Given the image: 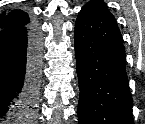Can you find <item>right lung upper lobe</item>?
<instances>
[{"mask_svg": "<svg viewBox=\"0 0 145 124\" xmlns=\"http://www.w3.org/2000/svg\"><path fill=\"white\" fill-rule=\"evenodd\" d=\"M30 24L29 17L20 10L5 12L0 17V30L22 28Z\"/></svg>", "mask_w": 145, "mask_h": 124, "instance_id": "right-lung-upper-lobe-1", "label": "right lung upper lobe"}]
</instances>
